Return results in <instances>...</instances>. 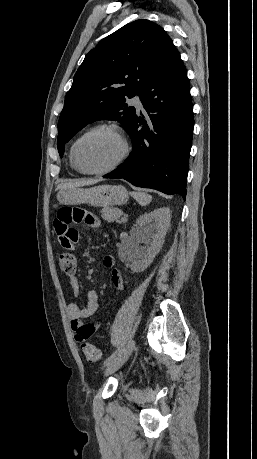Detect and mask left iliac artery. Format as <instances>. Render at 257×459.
Instances as JSON below:
<instances>
[{"instance_id":"44dca946","label":"left iliac artery","mask_w":257,"mask_h":459,"mask_svg":"<svg viewBox=\"0 0 257 459\" xmlns=\"http://www.w3.org/2000/svg\"><path fill=\"white\" fill-rule=\"evenodd\" d=\"M122 353V348H118L115 352H113L104 362L105 366H108L113 362L120 354Z\"/></svg>"}]
</instances>
